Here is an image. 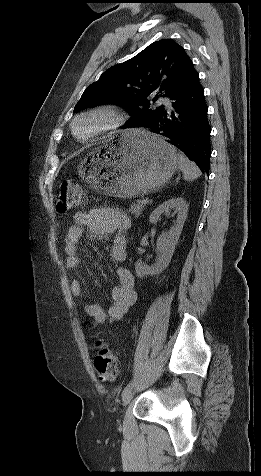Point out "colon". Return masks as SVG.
<instances>
[{"label": "colon", "mask_w": 261, "mask_h": 476, "mask_svg": "<svg viewBox=\"0 0 261 476\" xmlns=\"http://www.w3.org/2000/svg\"><path fill=\"white\" fill-rule=\"evenodd\" d=\"M83 191L80 184L74 180L64 181L59 189L56 207L61 213L81 205ZM97 352L94 358V366L101 381H113L119 372L118 359L113 350L102 339L96 341Z\"/></svg>", "instance_id": "colon-1"}]
</instances>
